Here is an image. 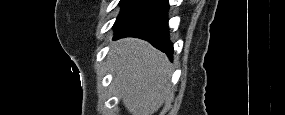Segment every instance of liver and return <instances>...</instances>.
I'll return each mask as SVG.
<instances>
[{
	"mask_svg": "<svg viewBox=\"0 0 285 115\" xmlns=\"http://www.w3.org/2000/svg\"><path fill=\"white\" fill-rule=\"evenodd\" d=\"M107 60L127 110L132 115H153L170 90L167 56L146 41L125 38L112 45Z\"/></svg>",
	"mask_w": 285,
	"mask_h": 115,
	"instance_id": "6515ba94",
	"label": "liver"
}]
</instances>
